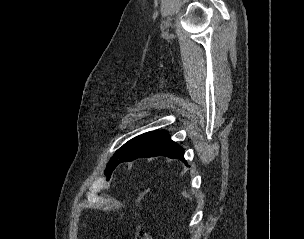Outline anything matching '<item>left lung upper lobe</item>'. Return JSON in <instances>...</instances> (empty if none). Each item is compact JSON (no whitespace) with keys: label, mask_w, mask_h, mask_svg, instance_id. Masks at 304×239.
I'll list each match as a JSON object with an SVG mask.
<instances>
[{"label":"left lung upper lobe","mask_w":304,"mask_h":239,"mask_svg":"<svg viewBox=\"0 0 304 239\" xmlns=\"http://www.w3.org/2000/svg\"><path fill=\"white\" fill-rule=\"evenodd\" d=\"M153 132H147L142 135H139L131 140H129L127 143H125L121 148H119L114 156L110 159L109 163L107 164L105 175L107 178L111 176L112 171L116 168L118 165L120 159L124 157L135 145H137L140 141L145 139L147 136L152 134Z\"/></svg>","instance_id":"5c2ea615"}]
</instances>
